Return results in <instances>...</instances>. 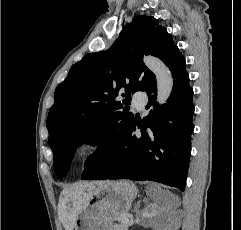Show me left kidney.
Segmentation results:
<instances>
[{"instance_id":"obj_1","label":"left kidney","mask_w":241,"mask_h":230,"mask_svg":"<svg viewBox=\"0 0 241 230\" xmlns=\"http://www.w3.org/2000/svg\"><path fill=\"white\" fill-rule=\"evenodd\" d=\"M152 223H153V219H149V221H147L146 225H147V226H151Z\"/></svg>"}]
</instances>
